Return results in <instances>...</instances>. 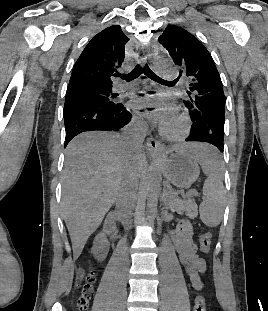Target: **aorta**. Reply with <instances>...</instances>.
Wrapping results in <instances>:
<instances>
[{
	"instance_id": "762f6f07",
	"label": "aorta",
	"mask_w": 268,
	"mask_h": 311,
	"mask_svg": "<svg viewBox=\"0 0 268 311\" xmlns=\"http://www.w3.org/2000/svg\"><path fill=\"white\" fill-rule=\"evenodd\" d=\"M154 70L158 72L159 75L165 74L166 60L161 56H156L154 58ZM161 179L162 170L159 164L154 161L146 183V197H147V214L150 222H154L157 214L158 198L161 191Z\"/></svg>"
}]
</instances>
